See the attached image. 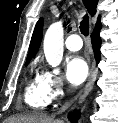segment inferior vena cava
<instances>
[{"label":"inferior vena cava","instance_id":"inferior-vena-cava-1","mask_svg":"<svg viewBox=\"0 0 118 123\" xmlns=\"http://www.w3.org/2000/svg\"><path fill=\"white\" fill-rule=\"evenodd\" d=\"M69 107V103L66 102L60 109L59 111L57 112L58 114L62 113V112H65V110H67V108Z\"/></svg>","mask_w":118,"mask_h":123}]
</instances>
